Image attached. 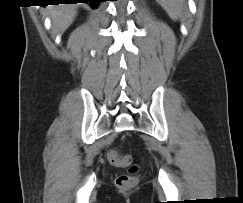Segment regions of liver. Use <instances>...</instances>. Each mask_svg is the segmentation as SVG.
<instances>
[{
    "mask_svg": "<svg viewBox=\"0 0 243 203\" xmlns=\"http://www.w3.org/2000/svg\"><path fill=\"white\" fill-rule=\"evenodd\" d=\"M77 5L65 6V7H49L52 15V21L56 28L66 29L68 28L76 15Z\"/></svg>",
    "mask_w": 243,
    "mask_h": 203,
    "instance_id": "obj_1",
    "label": "liver"
}]
</instances>
